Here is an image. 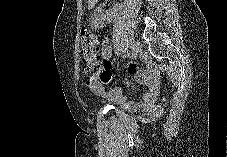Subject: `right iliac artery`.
Returning <instances> with one entry per match:
<instances>
[{"mask_svg": "<svg viewBox=\"0 0 227 157\" xmlns=\"http://www.w3.org/2000/svg\"><path fill=\"white\" fill-rule=\"evenodd\" d=\"M125 53H130V48H125Z\"/></svg>", "mask_w": 227, "mask_h": 157, "instance_id": "right-iliac-artery-1", "label": "right iliac artery"}]
</instances>
